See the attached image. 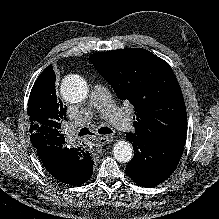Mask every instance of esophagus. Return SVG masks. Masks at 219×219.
<instances>
[{
	"label": "esophagus",
	"instance_id": "34e87169",
	"mask_svg": "<svg viewBox=\"0 0 219 219\" xmlns=\"http://www.w3.org/2000/svg\"><path fill=\"white\" fill-rule=\"evenodd\" d=\"M113 140V136L112 135H103V136H99L96 139V142L99 146H104L109 144L110 142H112Z\"/></svg>",
	"mask_w": 219,
	"mask_h": 219
}]
</instances>
